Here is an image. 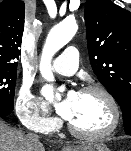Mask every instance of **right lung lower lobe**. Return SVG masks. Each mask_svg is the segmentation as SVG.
Masks as SVG:
<instances>
[{
	"label": "right lung lower lobe",
	"instance_id": "obj_1",
	"mask_svg": "<svg viewBox=\"0 0 131 151\" xmlns=\"http://www.w3.org/2000/svg\"><path fill=\"white\" fill-rule=\"evenodd\" d=\"M13 111V108H4L0 106V117H5Z\"/></svg>",
	"mask_w": 131,
	"mask_h": 151
}]
</instances>
